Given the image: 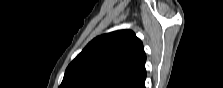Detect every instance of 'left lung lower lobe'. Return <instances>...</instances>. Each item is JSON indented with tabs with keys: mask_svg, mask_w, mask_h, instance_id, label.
Listing matches in <instances>:
<instances>
[{
	"mask_svg": "<svg viewBox=\"0 0 223 88\" xmlns=\"http://www.w3.org/2000/svg\"><path fill=\"white\" fill-rule=\"evenodd\" d=\"M138 88H145L144 82Z\"/></svg>",
	"mask_w": 223,
	"mask_h": 88,
	"instance_id": "obj_1",
	"label": "left lung lower lobe"
}]
</instances>
